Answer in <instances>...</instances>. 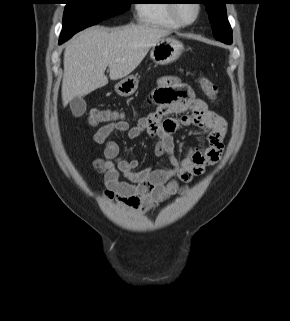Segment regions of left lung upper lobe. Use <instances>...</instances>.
Returning a JSON list of instances; mask_svg holds the SVG:
<instances>
[{
	"mask_svg": "<svg viewBox=\"0 0 290 321\" xmlns=\"http://www.w3.org/2000/svg\"><path fill=\"white\" fill-rule=\"evenodd\" d=\"M226 0H203L214 37L219 41H232V30L227 19Z\"/></svg>",
	"mask_w": 290,
	"mask_h": 321,
	"instance_id": "left-lung-upper-lobe-1",
	"label": "left lung upper lobe"
}]
</instances>
